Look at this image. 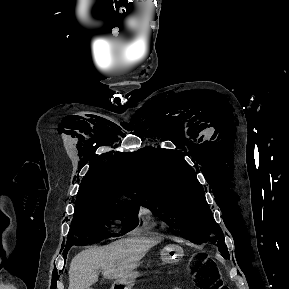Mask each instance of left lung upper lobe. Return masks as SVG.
Returning a JSON list of instances; mask_svg holds the SVG:
<instances>
[{
	"mask_svg": "<svg viewBox=\"0 0 289 289\" xmlns=\"http://www.w3.org/2000/svg\"><path fill=\"white\" fill-rule=\"evenodd\" d=\"M139 204L168 224L178 225L192 243L211 242L229 259L221 228L206 202L195 171L172 150L147 147L138 153Z\"/></svg>",
	"mask_w": 289,
	"mask_h": 289,
	"instance_id": "1",
	"label": "left lung upper lobe"
}]
</instances>
